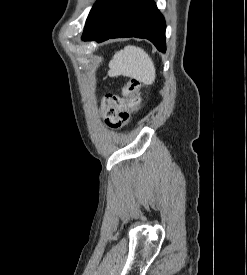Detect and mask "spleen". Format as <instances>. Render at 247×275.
<instances>
[{
	"mask_svg": "<svg viewBox=\"0 0 247 275\" xmlns=\"http://www.w3.org/2000/svg\"><path fill=\"white\" fill-rule=\"evenodd\" d=\"M109 74L134 78L151 85L156 78L155 67L149 55L140 47L128 45L115 53L109 63Z\"/></svg>",
	"mask_w": 247,
	"mask_h": 275,
	"instance_id": "3e777b00",
	"label": "spleen"
}]
</instances>
